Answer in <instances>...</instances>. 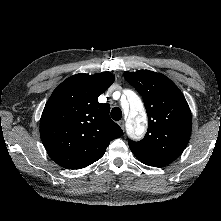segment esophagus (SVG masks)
Wrapping results in <instances>:
<instances>
[{"label":"esophagus","instance_id":"obj_1","mask_svg":"<svg viewBox=\"0 0 221 221\" xmlns=\"http://www.w3.org/2000/svg\"><path fill=\"white\" fill-rule=\"evenodd\" d=\"M118 124H119V126L121 127L122 130L125 129V121H124V120H120V121L118 122Z\"/></svg>","mask_w":221,"mask_h":221}]
</instances>
